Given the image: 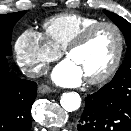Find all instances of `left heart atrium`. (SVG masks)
I'll return each instance as SVG.
<instances>
[{
	"instance_id": "1",
	"label": "left heart atrium",
	"mask_w": 131,
	"mask_h": 131,
	"mask_svg": "<svg viewBox=\"0 0 131 131\" xmlns=\"http://www.w3.org/2000/svg\"><path fill=\"white\" fill-rule=\"evenodd\" d=\"M52 79L61 86H77L82 82L83 75L72 61L66 59L54 68Z\"/></svg>"
}]
</instances>
